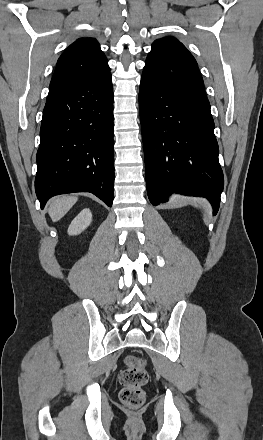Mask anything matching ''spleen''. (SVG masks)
Returning <instances> with one entry per match:
<instances>
[{
	"label": "spleen",
	"instance_id": "1",
	"mask_svg": "<svg viewBox=\"0 0 263 440\" xmlns=\"http://www.w3.org/2000/svg\"><path fill=\"white\" fill-rule=\"evenodd\" d=\"M204 205H205V207H206L207 209H210V206H209V204H208L206 201H204Z\"/></svg>",
	"mask_w": 263,
	"mask_h": 440
}]
</instances>
